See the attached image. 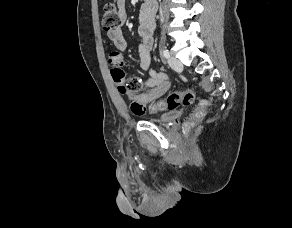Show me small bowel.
I'll return each mask as SVG.
<instances>
[{
  "instance_id": "small-bowel-1",
  "label": "small bowel",
  "mask_w": 292,
  "mask_h": 228,
  "mask_svg": "<svg viewBox=\"0 0 292 228\" xmlns=\"http://www.w3.org/2000/svg\"><path fill=\"white\" fill-rule=\"evenodd\" d=\"M122 23L126 19V0H116ZM155 3L145 2L139 12L138 36L140 42L138 44L139 62L138 67L142 72H148V78L143 86L132 97L144 107L161 97L169 89L168 76L162 71H157L152 67L151 51L153 48V34L155 30ZM108 38L117 49L118 53L127 49V41L122 33L120 26L107 32ZM122 56V55H121ZM123 59V56H122ZM153 111H156L155 109ZM139 115V114H137Z\"/></svg>"
}]
</instances>
